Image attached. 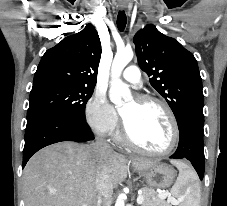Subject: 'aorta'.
<instances>
[{"instance_id":"aorta-1","label":"aorta","mask_w":227,"mask_h":206,"mask_svg":"<svg viewBox=\"0 0 227 206\" xmlns=\"http://www.w3.org/2000/svg\"><path fill=\"white\" fill-rule=\"evenodd\" d=\"M133 55L132 49H123L117 51L114 57L111 67L109 98L116 105H121L123 100H128L131 97L128 85L123 83L120 76L126 65L133 59ZM124 198V194H119L115 206H125Z\"/></svg>"}]
</instances>
